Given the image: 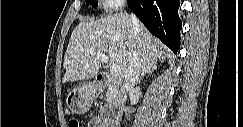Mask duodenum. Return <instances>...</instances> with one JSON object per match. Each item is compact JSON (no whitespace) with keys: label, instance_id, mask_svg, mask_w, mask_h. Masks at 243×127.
I'll use <instances>...</instances> for the list:
<instances>
[{"label":"duodenum","instance_id":"duodenum-1","mask_svg":"<svg viewBox=\"0 0 243 127\" xmlns=\"http://www.w3.org/2000/svg\"><path fill=\"white\" fill-rule=\"evenodd\" d=\"M95 85L99 89L110 88L111 90H113L117 93H120V91L122 90L120 81L106 73H100V74L96 75ZM100 125L102 127H106V125L104 124L103 118L100 119Z\"/></svg>","mask_w":243,"mask_h":127}]
</instances>
